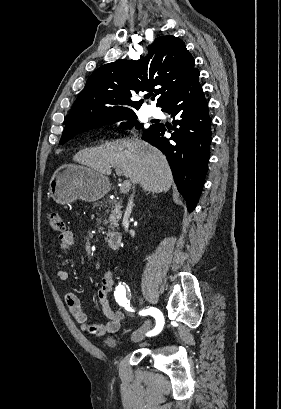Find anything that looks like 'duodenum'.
Segmentation results:
<instances>
[{
    "label": "duodenum",
    "mask_w": 281,
    "mask_h": 409,
    "mask_svg": "<svg viewBox=\"0 0 281 409\" xmlns=\"http://www.w3.org/2000/svg\"><path fill=\"white\" fill-rule=\"evenodd\" d=\"M108 244L112 249H119L122 244V235L120 232H110L107 235Z\"/></svg>",
    "instance_id": "410a0bca"
}]
</instances>
